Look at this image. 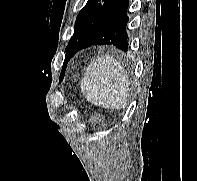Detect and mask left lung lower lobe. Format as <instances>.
I'll return each mask as SVG.
<instances>
[{"mask_svg": "<svg viewBox=\"0 0 197 181\" xmlns=\"http://www.w3.org/2000/svg\"><path fill=\"white\" fill-rule=\"evenodd\" d=\"M128 6V0H113L83 48L91 45H113L120 50H128Z\"/></svg>", "mask_w": 197, "mask_h": 181, "instance_id": "left-lung-lower-lobe-1", "label": "left lung lower lobe"}]
</instances>
